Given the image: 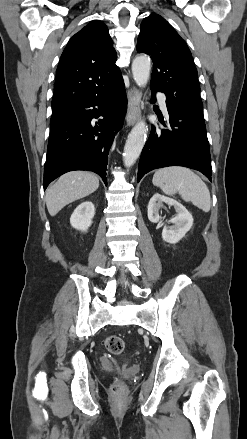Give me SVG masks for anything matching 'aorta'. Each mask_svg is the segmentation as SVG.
Instances as JSON below:
<instances>
[{
	"instance_id": "obj_1",
	"label": "aorta",
	"mask_w": 247,
	"mask_h": 439,
	"mask_svg": "<svg viewBox=\"0 0 247 439\" xmlns=\"http://www.w3.org/2000/svg\"><path fill=\"white\" fill-rule=\"evenodd\" d=\"M151 60L146 55L135 57L132 62V74L135 83L139 87H144L149 80ZM147 126L144 121L138 122L131 130L125 143L123 153V163L126 167H131L141 154L147 138Z\"/></svg>"
}]
</instances>
